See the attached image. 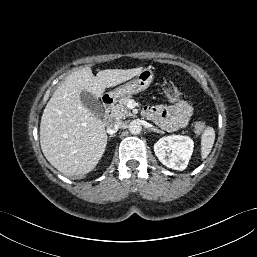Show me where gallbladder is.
<instances>
[{"mask_svg": "<svg viewBox=\"0 0 257 257\" xmlns=\"http://www.w3.org/2000/svg\"><path fill=\"white\" fill-rule=\"evenodd\" d=\"M80 100L82 104L96 117H101L103 115V105L94 95L86 91H82L80 94Z\"/></svg>", "mask_w": 257, "mask_h": 257, "instance_id": "1", "label": "gallbladder"}]
</instances>
